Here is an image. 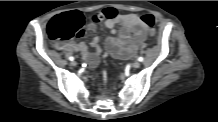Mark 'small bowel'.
Instances as JSON below:
<instances>
[{
    "mask_svg": "<svg viewBox=\"0 0 218 122\" xmlns=\"http://www.w3.org/2000/svg\"><path fill=\"white\" fill-rule=\"evenodd\" d=\"M88 24L90 31H95L101 24H105L114 35L117 33L116 25L122 27L117 37H109L106 40L107 51L112 56L121 59L133 56L151 32V29L144 24L137 14H119L116 8H106L98 13H90ZM56 46L60 49L69 47L79 52L84 61L91 67L97 65L101 54L98 37H94L90 43L81 41L65 44L62 42L57 43ZM90 47L92 50H90Z\"/></svg>",
    "mask_w": 218,
    "mask_h": 122,
    "instance_id": "obj_1",
    "label": "small bowel"
}]
</instances>
